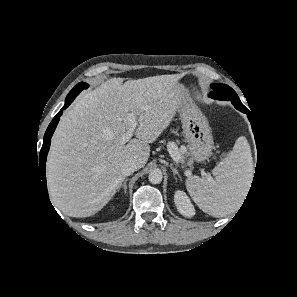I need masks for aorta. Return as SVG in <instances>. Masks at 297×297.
<instances>
[{
    "label": "aorta",
    "mask_w": 297,
    "mask_h": 297,
    "mask_svg": "<svg viewBox=\"0 0 297 297\" xmlns=\"http://www.w3.org/2000/svg\"><path fill=\"white\" fill-rule=\"evenodd\" d=\"M163 175L161 170L155 169L149 173L148 179L152 184H160L162 181Z\"/></svg>",
    "instance_id": "762f6f07"
}]
</instances>
